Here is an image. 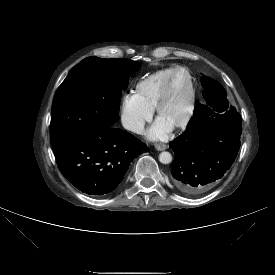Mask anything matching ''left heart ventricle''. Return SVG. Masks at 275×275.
Segmentation results:
<instances>
[{
    "mask_svg": "<svg viewBox=\"0 0 275 275\" xmlns=\"http://www.w3.org/2000/svg\"><path fill=\"white\" fill-rule=\"evenodd\" d=\"M188 97L189 83L187 75L183 71H178L174 75L170 96L159 119L170 126L181 120L186 111Z\"/></svg>",
    "mask_w": 275,
    "mask_h": 275,
    "instance_id": "1",
    "label": "left heart ventricle"
}]
</instances>
